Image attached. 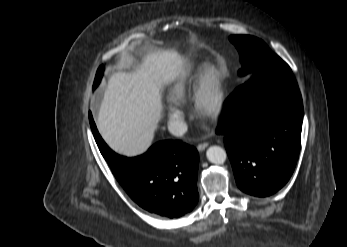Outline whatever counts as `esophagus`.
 <instances>
[{
  "label": "esophagus",
  "instance_id": "obj_1",
  "mask_svg": "<svg viewBox=\"0 0 347 247\" xmlns=\"http://www.w3.org/2000/svg\"><path fill=\"white\" fill-rule=\"evenodd\" d=\"M208 147V143L207 142H203L197 145V150L199 152L205 150Z\"/></svg>",
  "mask_w": 347,
  "mask_h": 247
}]
</instances>
